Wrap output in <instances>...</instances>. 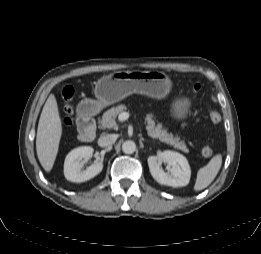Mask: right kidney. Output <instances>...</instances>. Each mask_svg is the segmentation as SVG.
<instances>
[{
  "instance_id": "ca27d5eb",
  "label": "right kidney",
  "mask_w": 261,
  "mask_h": 254,
  "mask_svg": "<svg viewBox=\"0 0 261 254\" xmlns=\"http://www.w3.org/2000/svg\"><path fill=\"white\" fill-rule=\"evenodd\" d=\"M94 149L90 146H82L68 153L64 162V176L71 182H85L98 175L103 164L91 165L82 170L83 160L92 157Z\"/></svg>"
}]
</instances>
